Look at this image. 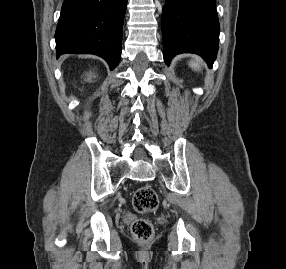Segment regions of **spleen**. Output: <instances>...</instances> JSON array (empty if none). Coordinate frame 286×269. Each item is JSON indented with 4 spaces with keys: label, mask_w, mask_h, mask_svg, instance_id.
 Masks as SVG:
<instances>
[{
    "label": "spleen",
    "mask_w": 286,
    "mask_h": 269,
    "mask_svg": "<svg viewBox=\"0 0 286 269\" xmlns=\"http://www.w3.org/2000/svg\"><path fill=\"white\" fill-rule=\"evenodd\" d=\"M200 64L201 61L199 59H196L195 61H191L189 63V66L194 70V71H199L200 70Z\"/></svg>",
    "instance_id": "spleen-1"
}]
</instances>
